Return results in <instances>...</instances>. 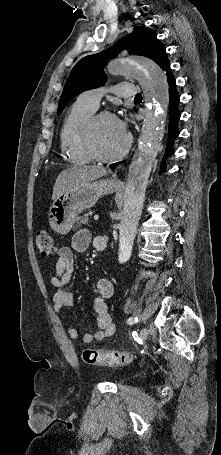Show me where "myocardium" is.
<instances>
[{"label":"myocardium","mask_w":221,"mask_h":455,"mask_svg":"<svg viewBox=\"0 0 221 455\" xmlns=\"http://www.w3.org/2000/svg\"><path fill=\"white\" fill-rule=\"evenodd\" d=\"M104 117L116 118V116L109 111H100L93 113L85 122L82 128V145L91 159L99 162H110L120 159L129 151L132 144V137L130 134H127L123 147L112 154L103 155L97 152L93 144V136L98 121Z\"/></svg>","instance_id":"myocardium-1"}]
</instances>
